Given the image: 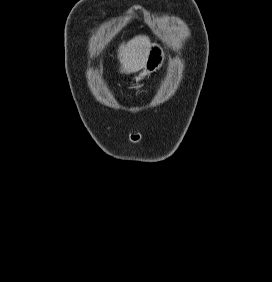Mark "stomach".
I'll return each instance as SVG.
<instances>
[{"label":"stomach","mask_w":272,"mask_h":282,"mask_svg":"<svg viewBox=\"0 0 272 282\" xmlns=\"http://www.w3.org/2000/svg\"><path fill=\"white\" fill-rule=\"evenodd\" d=\"M165 58H166V52L164 47L157 42L152 43L150 46L147 61L141 73L135 78L136 82H139L140 80L144 79L146 76H149L153 72L159 70L163 66Z\"/></svg>","instance_id":"obj_1"}]
</instances>
